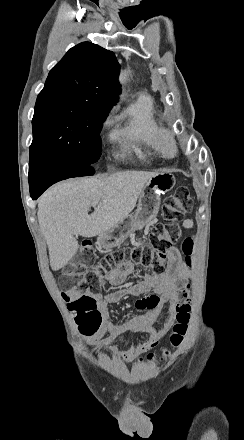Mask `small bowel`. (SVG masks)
I'll list each match as a JSON object with an SVG mask.
<instances>
[{
  "mask_svg": "<svg viewBox=\"0 0 244 440\" xmlns=\"http://www.w3.org/2000/svg\"><path fill=\"white\" fill-rule=\"evenodd\" d=\"M194 226L192 219L182 222L184 229ZM96 271H98L96 269ZM136 270L130 260H124L120 265L110 269L100 280L104 279L112 286H120L125 280L134 275ZM192 274L183 260L180 252L175 247L166 253V270L160 274H146L128 287L120 288L107 294L84 293L70 290L68 296L71 299L92 298L99 310L101 322L99 328L93 333L92 343L99 349L110 354L117 355L122 362L132 361L138 353L147 352L155 348L167 335L173 322V306L177 292L185 287L191 280ZM128 296L139 297L136 302L138 309L145 310L144 314L134 316L117 323L111 315L108 306L123 300ZM168 304V315L159 329H155L153 323L161 314L163 307ZM108 333L104 337L105 333ZM146 333L149 338L144 342H132L129 348L117 353L111 346V342L124 334Z\"/></svg>",
  "mask_w": 244,
  "mask_h": 440,
  "instance_id": "1",
  "label": "small bowel"
}]
</instances>
